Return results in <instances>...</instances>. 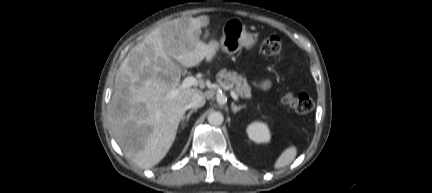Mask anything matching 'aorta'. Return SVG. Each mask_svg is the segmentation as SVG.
Here are the masks:
<instances>
[{"label": "aorta", "instance_id": "1", "mask_svg": "<svg viewBox=\"0 0 432 193\" xmlns=\"http://www.w3.org/2000/svg\"><path fill=\"white\" fill-rule=\"evenodd\" d=\"M207 120H208L210 125L219 126L223 123L224 117L220 112L213 111V112L209 113Z\"/></svg>", "mask_w": 432, "mask_h": 193}]
</instances>
